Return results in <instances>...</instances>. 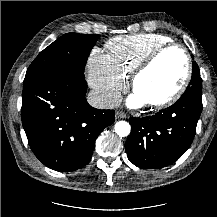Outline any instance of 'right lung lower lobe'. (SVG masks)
<instances>
[{
	"label": "right lung lower lobe",
	"instance_id": "obj_1",
	"mask_svg": "<svg viewBox=\"0 0 217 217\" xmlns=\"http://www.w3.org/2000/svg\"><path fill=\"white\" fill-rule=\"evenodd\" d=\"M87 83L66 65L24 79L22 124L35 156L48 168L70 172L91 159L96 138L115 111L91 107Z\"/></svg>",
	"mask_w": 217,
	"mask_h": 217
}]
</instances>
